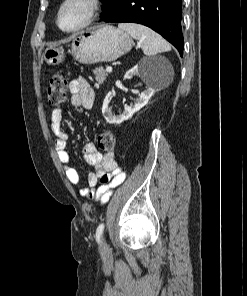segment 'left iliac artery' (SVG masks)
Here are the masks:
<instances>
[{
    "instance_id": "obj_1",
    "label": "left iliac artery",
    "mask_w": 247,
    "mask_h": 296,
    "mask_svg": "<svg viewBox=\"0 0 247 296\" xmlns=\"http://www.w3.org/2000/svg\"><path fill=\"white\" fill-rule=\"evenodd\" d=\"M103 230H104V223H101L96 230V240L98 242H100V238L102 236Z\"/></svg>"
}]
</instances>
